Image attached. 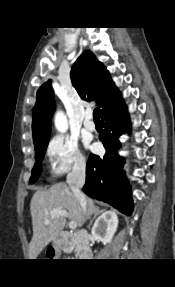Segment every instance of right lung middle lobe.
Masks as SVG:
<instances>
[{
    "mask_svg": "<svg viewBox=\"0 0 175 287\" xmlns=\"http://www.w3.org/2000/svg\"><path fill=\"white\" fill-rule=\"evenodd\" d=\"M49 138H46L40 142L35 143V159L36 163L34 165V168L32 170V176L30 178V183H34L41 173V162L45 154L46 147L48 145Z\"/></svg>",
    "mask_w": 175,
    "mask_h": 287,
    "instance_id": "dd1d6c3e",
    "label": "right lung middle lobe"
}]
</instances>
